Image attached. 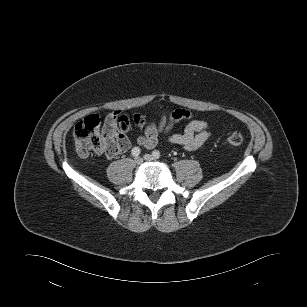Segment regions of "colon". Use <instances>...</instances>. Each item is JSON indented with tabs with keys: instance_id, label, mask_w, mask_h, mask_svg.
<instances>
[{
	"instance_id": "colon-1",
	"label": "colon",
	"mask_w": 307,
	"mask_h": 307,
	"mask_svg": "<svg viewBox=\"0 0 307 307\" xmlns=\"http://www.w3.org/2000/svg\"><path fill=\"white\" fill-rule=\"evenodd\" d=\"M112 122L123 133L127 132L132 125L143 126L145 117L135 114L133 117L126 115H113ZM107 120L104 123L98 115H90L79 121L73 129V138L76 151L80 156H87L90 152H106L109 149L105 129ZM243 142V136L239 132L228 135L224 140L227 147H237Z\"/></svg>"
}]
</instances>
